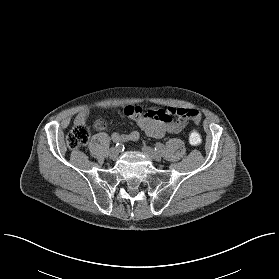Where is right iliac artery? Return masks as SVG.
<instances>
[{
    "instance_id": "82829eb1",
    "label": "right iliac artery",
    "mask_w": 279,
    "mask_h": 279,
    "mask_svg": "<svg viewBox=\"0 0 279 279\" xmlns=\"http://www.w3.org/2000/svg\"><path fill=\"white\" fill-rule=\"evenodd\" d=\"M113 143L116 148L121 149L122 144L119 141L113 140Z\"/></svg>"
}]
</instances>
